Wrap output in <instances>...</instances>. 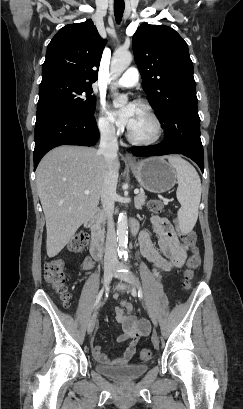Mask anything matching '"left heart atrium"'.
Here are the masks:
<instances>
[{
	"mask_svg": "<svg viewBox=\"0 0 243 409\" xmlns=\"http://www.w3.org/2000/svg\"><path fill=\"white\" fill-rule=\"evenodd\" d=\"M134 112H135V104L128 103L126 106L120 109L114 110L112 112V117L118 125L129 128L132 122Z\"/></svg>",
	"mask_w": 243,
	"mask_h": 409,
	"instance_id": "left-heart-atrium-1",
	"label": "left heart atrium"
}]
</instances>
